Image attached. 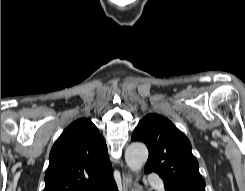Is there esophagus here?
<instances>
[{"label":"esophagus","instance_id":"obj_1","mask_svg":"<svg viewBox=\"0 0 245 191\" xmlns=\"http://www.w3.org/2000/svg\"><path fill=\"white\" fill-rule=\"evenodd\" d=\"M123 185L124 188H126L127 190L131 189L132 186V176L130 173H127L126 175H123Z\"/></svg>","mask_w":245,"mask_h":191}]
</instances>
